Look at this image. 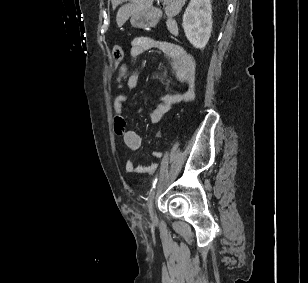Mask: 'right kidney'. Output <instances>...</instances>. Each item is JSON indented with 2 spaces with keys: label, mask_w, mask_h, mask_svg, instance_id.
<instances>
[{
  "label": "right kidney",
  "mask_w": 308,
  "mask_h": 283,
  "mask_svg": "<svg viewBox=\"0 0 308 283\" xmlns=\"http://www.w3.org/2000/svg\"><path fill=\"white\" fill-rule=\"evenodd\" d=\"M189 42L197 49H203L212 31V6L210 0H191L182 23Z\"/></svg>",
  "instance_id": "1"
}]
</instances>
